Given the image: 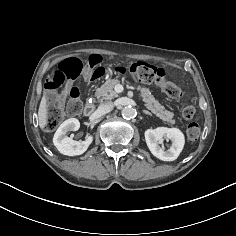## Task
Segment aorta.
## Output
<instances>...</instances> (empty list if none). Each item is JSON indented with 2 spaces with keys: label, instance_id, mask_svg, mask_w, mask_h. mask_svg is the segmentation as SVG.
<instances>
[{
  "label": "aorta",
  "instance_id": "aorta-1",
  "mask_svg": "<svg viewBox=\"0 0 236 236\" xmlns=\"http://www.w3.org/2000/svg\"><path fill=\"white\" fill-rule=\"evenodd\" d=\"M135 113V109L131 106H125L121 111L122 116L126 119L133 118L135 116Z\"/></svg>",
  "mask_w": 236,
  "mask_h": 236
}]
</instances>
